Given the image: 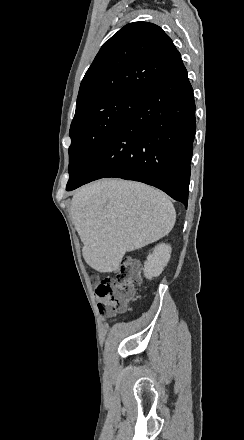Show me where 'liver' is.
<instances>
[{"mask_svg": "<svg viewBox=\"0 0 244 440\" xmlns=\"http://www.w3.org/2000/svg\"><path fill=\"white\" fill-rule=\"evenodd\" d=\"M83 258L96 272H115L126 252L167 236L176 222L168 196L140 182L97 180L71 200Z\"/></svg>", "mask_w": 244, "mask_h": 440, "instance_id": "1", "label": "liver"}]
</instances>
